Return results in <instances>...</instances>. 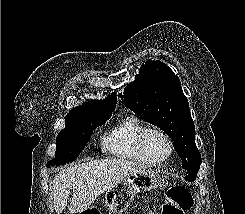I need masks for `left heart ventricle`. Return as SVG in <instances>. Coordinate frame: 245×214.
<instances>
[{"instance_id":"left-heart-ventricle-1","label":"left heart ventricle","mask_w":245,"mask_h":214,"mask_svg":"<svg viewBox=\"0 0 245 214\" xmlns=\"http://www.w3.org/2000/svg\"><path fill=\"white\" fill-rule=\"evenodd\" d=\"M146 149L148 156L153 160L163 159L168 154V145L165 139L158 134H152L149 136Z\"/></svg>"}]
</instances>
